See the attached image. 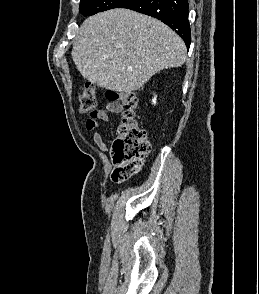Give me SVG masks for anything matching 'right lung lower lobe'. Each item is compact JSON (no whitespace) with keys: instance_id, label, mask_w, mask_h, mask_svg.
<instances>
[{"instance_id":"right-lung-lower-lobe-1","label":"right lung lower lobe","mask_w":259,"mask_h":294,"mask_svg":"<svg viewBox=\"0 0 259 294\" xmlns=\"http://www.w3.org/2000/svg\"><path fill=\"white\" fill-rule=\"evenodd\" d=\"M119 8L131 9L161 20L172 28L189 48L191 33L187 0H129Z\"/></svg>"}]
</instances>
